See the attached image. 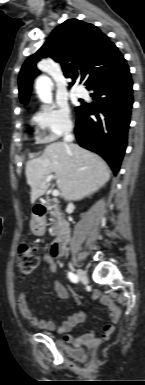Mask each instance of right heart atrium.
Returning <instances> with one entry per match:
<instances>
[{"instance_id": "1", "label": "right heart atrium", "mask_w": 145, "mask_h": 385, "mask_svg": "<svg viewBox=\"0 0 145 385\" xmlns=\"http://www.w3.org/2000/svg\"><path fill=\"white\" fill-rule=\"evenodd\" d=\"M44 142H52L70 132L73 128L69 107L64 103L42 106L33 117Z\"/></svg>"}]
</instances>
